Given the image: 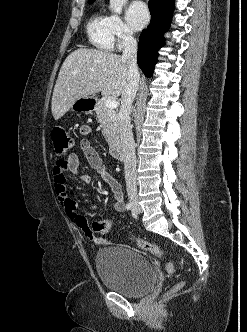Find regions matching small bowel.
<instances>
[{
  "mask_svg": "<svg viewBox=\"0 0 247 332\" xmlns=\"http://www.w3.org/2000/svg\"><path fill=\"white\" fill-rule=\"evenodd\" d=\"M82 136L80 142L81 152L89 163L90 167L95 169L101 178L108 184L113 194V209L116 212H123L125 210V202L123 191L120 183L107 171L99 154L92 147L88 136L90 135V127L83 125L79 129ZM79 153L72 152L66 159H59L56 161L53 177L54 189L64 208L68 218L85 234V236L92 242H99L100 239L95 235L94 230L89 225L84 216L77 212V204L73 198V192L67 187V175L71 174L79 178L85 184H89L92 177L89 173L81 172L79 170ZM95 207H93L94 209Z\"/></svg>",
  "mask_w": 247,
  "mask_h": 332,
  "instance_id": "1",
  "label": "small bowel"
}]
</instances>
